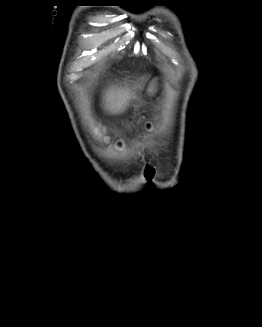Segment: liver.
<instances>
[{"label": "liver", "instance_id": "6515ba94", "mask_svg": "<svg viewBox=\"0 0 262 327\" xmlns=\"http://www.w3.org/2000/svg\"><path fill=\"white\" fill-rule=\"evenodd\" d=\"M143 83L133 88L129 87H112L105 95L106 108L112 113H119L126 109L132 99H136L135 90H141ZM134 90V91H133Z\"/></svg>", "mask_w": 262, "mask_h": 327}]
</instances>
